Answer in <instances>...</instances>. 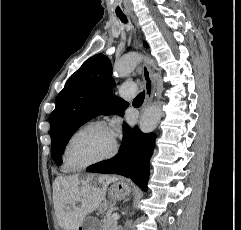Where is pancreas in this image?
<instances>
[{
	"mask_svg": "<svg viewBox=\"0 0 241 230\" xmlns=\"http://www.w3.org/2000/svg\"><path fill=\"white\" fill-rule=\"evenodd\" d=\"M117 223L112 219V216H106L101 221V230H117Z\"/></svg>",
	"mask_w": 241,
	"mask_h": 230,
	"instance_id": "pancreas-1",
	"label": "pancreas"
}]
</instances>
